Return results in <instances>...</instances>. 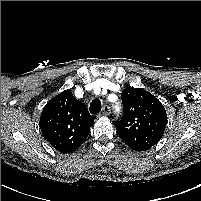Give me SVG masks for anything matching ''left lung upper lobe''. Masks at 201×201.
<instances>
[{
	"label": "left lung upper lobe",
	"instance_id": "left-lung-upper-lobe-1",
	"mask_svg": "<svg viewBox=\"0 0 201 201\" xmlns=\"http://www.w3.org/2000/svg\"><path fill=\"white\" fill-rule=\"evenodd\" d=\"M123 117L115 122L119 137L133 150L146 151L157 144L167 125L160 101L141 88H125L121 94Z\"/></svg>",
	"mask_w": 201,
	"mask_h": 201
}]
</instances>
